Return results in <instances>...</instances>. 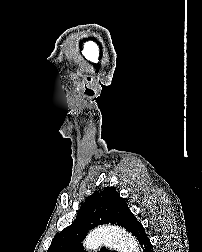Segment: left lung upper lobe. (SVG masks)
<instances>
[{
    "instance_id": "obj_1",
    "label": "left lung upper lobe",
    "mask_w": 202,
    "mask_h": 252,
    "mask_svg": "<svg viewBox=\"0 0 202 252\" xmlns=\"http://www.w3.org/2000/svg\"><path fill=\"white\" fill-rule=\"evenodd\" d=\"M137 222L125 199L120 197L115 188L107 187L95 191L85 200L77 218L53 238L47 252H86L82 248V240L94 227L115 224L131 232ZM100 252L109 250L102 248Z\"/></svg>"
}]
</instances>
